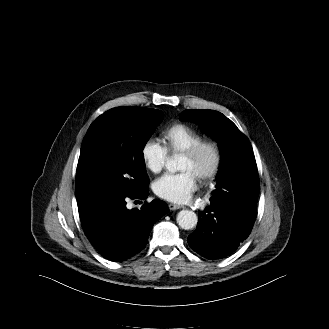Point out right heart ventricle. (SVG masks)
I'll list each match as a JSON object with an SVG mask.
<instances>
[{"instance_id":"e07e8e85","label":"right heart ventricle","mask_w":329,"mask_h":329,"mask_svg":"<svg viewBox=\"0 0 329 329\" xmlns=\"http://www.w3.org/2000/svg\"><path fill=\"white\" fill-rule=\"evenodd\" d=\"M164 140L169 152L183 153L186 149L203 140V135L192 127L176 123L164 131Z\"/></svg>"}]
</instances>
